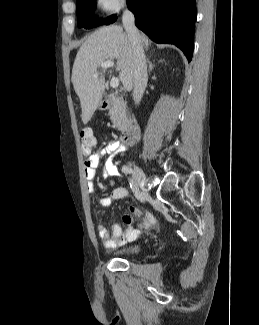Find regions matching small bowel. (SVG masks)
<instances>
[{
  "instance_id": "c3829d8e",
  "label": "small bowel",
  "mask_w": 259,
  "mask_h": 325,
  "mask_svg": "<svg viewBox=\"0 0 259 325\" xmlns=\"http://www.w3.org/2000/svg\"><path fill=\"white\" fill-rule=\"evenodd\" d=\"M126 146L119 142H109L105 147L91 154L85 161V177L87 181V190L89 193H94L96 188L94 179L96 177L97 168L99 166L100 159L107 156L103 167V178H119L120 173L116 165L115 157L126 150ZM128 190L124 187L114 188L108 196L102 197L99 200V205L102 208L109 207L114 200H119L127 197ZM135 219H138L137 225L133 226ZM123 222L127 226L125 231L119 224H113L110 228V232L104 224L97 226L99 238L101 239L103 246L106 249H114L125 243L136 239L141 233L142 227H148L155 222L154 217L149 214H142V212L135 208L130 207V213L123 217Z\"/></svg>"
}]
</instances>
